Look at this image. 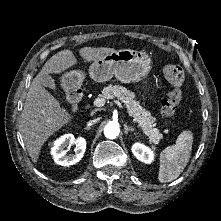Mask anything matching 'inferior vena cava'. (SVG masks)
<instances>
[{
    "mask_svg": "<svg viewBox=\"0 0 221 221\" xmlns=\"http://www.w3.org/2000/svg\"><path fill=\"white\" fill-rule=\"evenodd\" d=\"M99 120V118L97 119H94V120H90L88 123H87V126H92L93 124H95L97 121Z\"/></svg>",
    "mask_w": 221,
    "mask_h": 221,
    "instance_id": "inferior-vena-cava-1",
    "label": "inferior vena cava"
}]
</instances>
